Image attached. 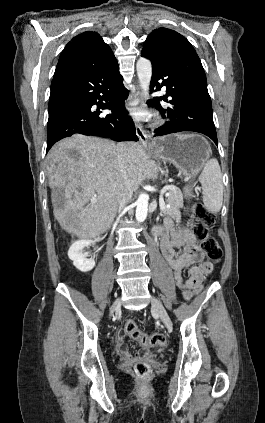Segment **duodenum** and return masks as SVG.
I'll list each match as a JSON object with an SVG mask.
<instances>
[{"label":"duodenum","mask_w":265,"mask_h":423,"mask_svg":"<svg viewBox=\"0 0 265 423\" xmlns=\"http://www.w3.org/2000/svg\"><path fill=\"white\" fill-rule=\"evenodd\" d=\"M154 234H155L156 237H160L162 235V232L158 227H156L154 229Z\"/></svg>","instance_id":"obj_1"}]
</instances>
